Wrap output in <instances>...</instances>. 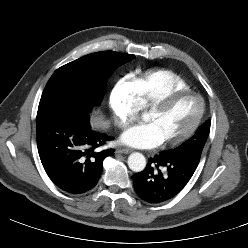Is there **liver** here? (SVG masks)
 <instances>
[{"mask_svg":"<svg viewBox=\"0 0 248 248\" xmlns=\"http://www.w3.org/2000/svg\"><path fill=\"white\" fill-rule=\"evenodd\" d=\"M91 122L94 128H106L108 126L107 121L103 120L100 115L93 117Z\"/></svg>","mask_w":248,"mask_h":248,"instance_id":"1","label":"liver"}]
</instances>
